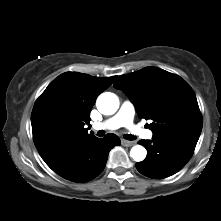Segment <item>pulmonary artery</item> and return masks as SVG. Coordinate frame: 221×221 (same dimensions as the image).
<instances>
[{"instance_id":"pulmonary-artery-1","label":"pulmonary artery","mask_w":221,"mask_h":221,"mask_svg":"<svg viewBox=\"0 0 221 221\" xmlns=\"http://www.w3.org/2000/svg\"><path fill=\"white\" fill-rule=\"evenodd\" d=\"M135 115L134 105L130 101H124L116 115L109 118L104 122H97L93 124V128L96 130L100 129H118L120 127H126L133 135L151 139L152 132L139 128L133 123Z\"/></svg>"}]
</instances>
